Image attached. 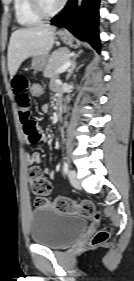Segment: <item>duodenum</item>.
Listing matches in <instances>:
<instances>
[{
  "label": "duodenum",
  "mask_w": 134,
  "mask_h": 281,
  "mask_svg": "<svg viewBox=\"0 0 134 281\" xmlns=\"http://www.w3.org/2000/svg\"><path fill=\"white\" fill-rule=\"evenodd\" d=\"M55 106H56V109H57L58 112H62L64 110L61 98L57 99Z\"/></svg>",
  "instance_id": "obj_1"
}]
</instances>
